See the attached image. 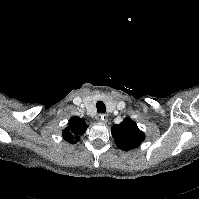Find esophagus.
I'll list each match as a JSON object with an SVG mask.
<instances>
[{
  "instance_id": "1",
  "label": "esophagus",
  "mask_w": 199,
  "mask_h": 199,
  "mask_svg": "<svg viewBox=\"0 0 199 199\" xmlns=\"http://www.w3.org/2000/svg\"><path fill=\"white\" fill-rule=\"evenodd\" d=\"M98 120L102 123H107L108 122V118L105 114H100Z\"/></svg>"
}]
</instances>
